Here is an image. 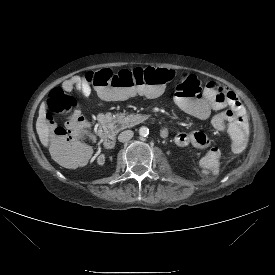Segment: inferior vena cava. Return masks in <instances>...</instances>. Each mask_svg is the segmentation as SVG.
<instances>
[{"instance_id": "inferior-vena-cava-1", "label": "inferior vena cava", "mask_w": 275, "mask_h": 275, "mask_svg": "<svg viewBox=\"0 0 275 275\" xmlns=\"http://www.w3.org/2000/svg\"><path fill=\"white\" fill-rule=\"evenodd\" d=\"M133 135H134V133L132 130H125L119 134L118 140L120 142H126V141L130 140L133 137Z\"/></svg>"}]
</instances>
